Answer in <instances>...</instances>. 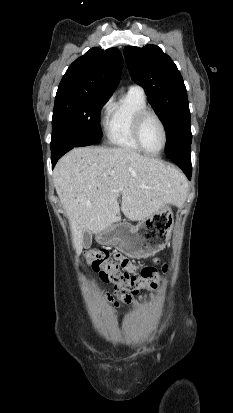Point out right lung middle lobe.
Masks as SVG:
<instances>
[{"instance_id": "right-lung-middle-lobe-1", "label": "right lung middle lobe", "mask_w": 233, "mask_h": 413, "mask_svg": "<svg viewBox=\"0 0 233 413\" xmlns=\"http://www.w3.org/2000/svg\"><path fill=\"white\" fill-rule=\"evenodd\" d=\"M109 96L84 91H57L52 118L51 147L61 142H92L102 137L100 110Z\"/></svg>"}]
</instances>
